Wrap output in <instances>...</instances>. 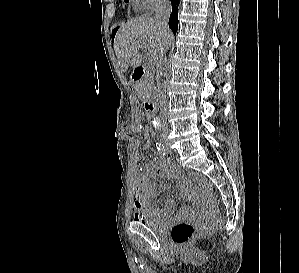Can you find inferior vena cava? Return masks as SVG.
Instances as JSON below:
<instances>
[{
	"label": "inferior vena cava",
	"mask_w": 299,
	"mask_h": 273,
	"mask_svg": "<svg viewBox=\"0 0 299 273\" xmlns=\"http://www.w3.org/2000/svg\"><path fill=\"white\" fill-rule=\"evenodd\" d=\"M171 13V3L170 0H156L155 3V20L161 27L163 31H168V19ZM162 58V57H161ZM161 114L165 116L166 114V96L161 97Z\"/></svg>",
	"instance_id": "inferior-vena-cava-1"
}]
</instances>
